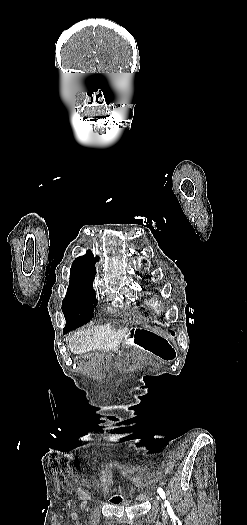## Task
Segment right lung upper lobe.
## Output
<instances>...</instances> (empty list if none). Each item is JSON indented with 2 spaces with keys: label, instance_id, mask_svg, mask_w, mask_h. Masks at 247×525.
Listing matches in <instances>:
<instances>
[{
  "label": "right lung upper lobe",
  "instance_id": "cb5924a9",
  "mask_svg": "<svg viewBox=\"0 0 247 525\" xmlns=\"http://www.w3.org/2000/svg\"><path fill=\"white\" fill-rule=\"evenodd\" d=\"M98 260L99 257H94L93 253L88 250L84 256H80L73 261L70 273L91 274L95 276V263Z\"/></svg>",
  "mask_w": 247,
  "mask_h": 525
}]
</instances>
